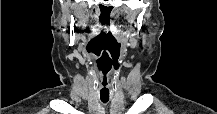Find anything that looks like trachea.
Returning a JSON list of instances; mask_svg holds the SVG:
<instances>
[{
	"instance_id": "3493384b",
	"label": "trachea",
	"mask_w": 217,
	"mask_h": 114,
	"mask_svg": "<svg viewBox=\"0 0 217 114\" xmlns=\"http://www.w3.org/2000/svg\"><path fill=\"white\" fill-rule=\"evenodd\" d=\"M101 101H102L103 103H107V102L109 101V99H101Z\"/></svg>"
}]
</instances>
